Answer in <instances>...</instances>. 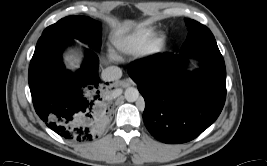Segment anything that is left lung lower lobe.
Instances as JSON below:
<instances>
[{
  "instance_id": "left-lung-lower-lobe-1",
  "label": "left lung lower lobe",
  "mask_w": 267,
  "mask_h": 166,
  "mask_svg": "<svg viewBox=\"0 0 267 166\" xmlns=\"http://www.w3.org/2000/svg\"><path fill=\"white\" fill-rule=\"evenodd\" d=\"M200 69L185 70L189 58ZM130 77L145 99L143 120L159 141L193 140L219 116L226 99V68L214 37L194 42L180 54L163 53L133 61Z\"/></svg>"
}]
</instances>
